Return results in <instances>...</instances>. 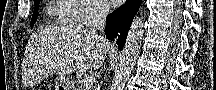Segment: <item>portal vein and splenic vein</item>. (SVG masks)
Here are the masks:
<instances>
[{"instance_id": "obj_1", "label": "portal vein and splenic vein", "mask_w": 216, "mask_h": 90, "mask_svg": "<svg viewBox=\"0 0 216 90\" xmlns=\"http://www.w3.org/2000/svg\"><path fill=\"white\" fill-rule=\"evenodd\" d=\"M82 86L84 90H87V88H91V86H93V78H90V76H85L82 82Z\"/></svg>"}]
</instances>
